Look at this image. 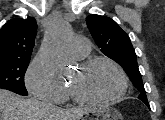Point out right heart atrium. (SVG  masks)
Listing matches in <instances>:
<instances>
[{"label":"right heart atrium","mask_w":165,"mask_h":120,"mask_svg":"<svg viewBox=\"0 0 165 120\" xmlns=\"http://www.w3.org/2000/svg\"><path fill=\"white\" fill-rule=\"evenodd\" d=\"M25 84L29 93L40 100L61 103L66 99V88L48 72L39 58L31 61Z\"/></svg>","instance_id":"1"}]
</instances>
